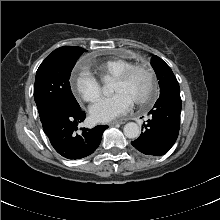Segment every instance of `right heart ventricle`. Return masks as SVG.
I'll return each mask as SVG.
<instances>
[{"label": "right heart ventricle", "instance_id": "e07e8e85", "mask_svg": "<svg viewBox=\"0 0 220 220\" xmlns=\"http://www.w3.org/2000/svg\"><path fill=\"white\" fill-rule=\"evenodd\" d=\"M133 65V61L124 58L106 60L96 66V71L102 79H116L127 68Z\"/></svg>", "mask_w": 220, "mask_h": 220}]
</instances>
